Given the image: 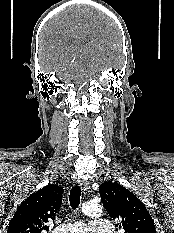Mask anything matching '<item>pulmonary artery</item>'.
Here are the masks:
<instances>
[{
    "label": "pulmonary artery",
    "mask_w": 174,
    "mask_h": 233,
    "mask_svg": "<svg viewBox=\"0 0 174 233\" xmlns=\"http://www.w3.org/2000/svg\"><path fill=\"white\" fill-rule=\"evenodd\" d=\"M110 227L103 219H93L88 223L73 222L58 226L53 233H109Z\"/></svg>",
    "instance_id": "obj_1"
}]
</instances>
